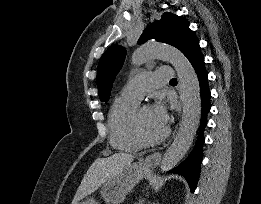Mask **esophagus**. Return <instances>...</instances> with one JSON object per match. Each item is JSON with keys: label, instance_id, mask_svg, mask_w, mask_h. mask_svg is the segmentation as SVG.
Masks as SVG:
<instances>
[{"label": "esophagus", "instance_id": "esophagus-1", "mask_svg": "<svg viewBox=\"0 0 261 204\" xmlns=\"http://www.w3.org/2000/svg\"><path fill=\"white\" fill-rule=\"evenodd\" d=\"M161 161V153L155 152L148 155L144 160L140 162V166L143 168H152L158 165Z\"/></svg>", "mask_w": 261, "mask_h": 204}]
</instances>
